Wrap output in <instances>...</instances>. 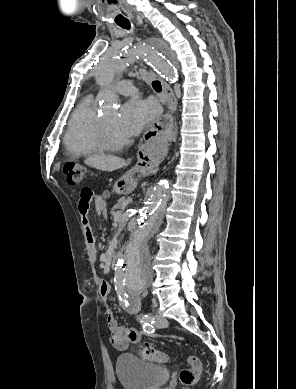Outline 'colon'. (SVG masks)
Here are the masks:
<instances>
[{
  "label": "colon",
  "mask_w": 296,
  "mask_h": 389,
  "mask_svg": "<svg viewBox=\"0 0 296 389\" xmlns=\"http://www.w3.org/2000/svg\"><path fill=\"white\" fill-rule=\"evenodd\" d=\"M63 173L67 183L70 186L77 187L84 178L85 169L78 163L70 162L65 164ZM87 197H89V195ZM140 356L144 360L156 363H166L169 360V357L165 352L156 350L151 346H144L140 351ZM187 363L190 367L182 369L179 373V380L185 388L192 386L197 381L202 371V363L198 357L193 355L188 356Z\"/></svg>",
  "instance_id": "obj_1"
}]
</instances>
